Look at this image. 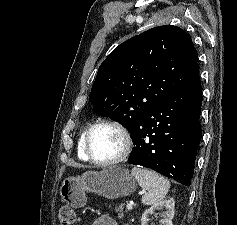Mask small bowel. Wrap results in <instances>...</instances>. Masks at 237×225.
Here are the masks:
<instances>
[{
    "mask_svg": "<svg viewBox=\"0 0 237 225\" xmlns=\"http://www.w3.org/2000/svg\"><path fill=\"white\" fill-rule=\"evenodd\" d=\"M92 225H118V223L109 216H100L95 219Z\"/></svg>",
    "mask_w": 237,
    "mask_h": 225,
    "instance_id": "obj_1",
    "label": "small bowel"
}]
</instances>
